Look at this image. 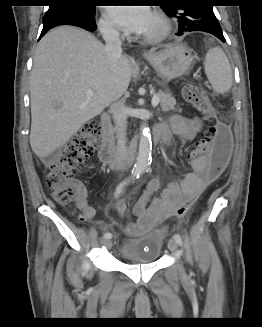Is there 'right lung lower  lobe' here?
<instances>
[{
    "label": "right lung lower lobe",
    "mask_w": 262,
    "mask_h": 327,
    "mask_svg": "<svg viewBox=\"0 0 262 327\" xmlns=\"http://www.w3.org/2000/svg\"><path fill=\"white\" fill-rule=\"evenodd\" d=\"M60 25H73L87 31H94L96 29L95 15H86L67 9L48 10L43 17V29L40 38L43 37L51 28Z\"/></svg>",
    "instance_id": "1"
}]
</instances>
